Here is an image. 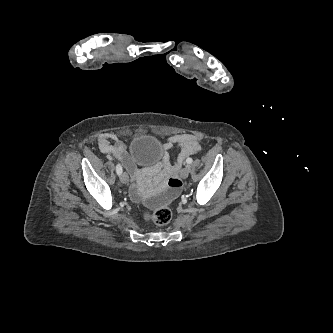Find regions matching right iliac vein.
I'll use <instances>...</instances> for the list:
<instances>
[{
    "instance_id": "63e3f726",
    "label": "right iliac vein",
    "mask_w": 333,
    "mask_h": 333,
    "mask_svg": "<svg viewBox=\"0 0 333 333\" xmlns=\"http://www.w3.org/2000/svg\"><path fill=\"white\" fill-rule=\"evenodd\" d=\"M129 181V177H128V174L126 172H123L121 175H120V182L122 184H126L128 183Z\"/></svg>"
}]
</instances>
